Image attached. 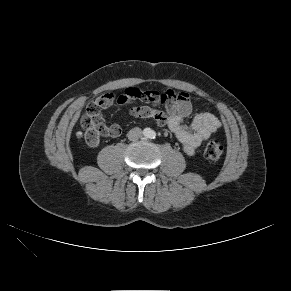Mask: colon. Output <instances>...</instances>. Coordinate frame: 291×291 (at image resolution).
Returning a JSON list of instances; mask_svg holds the SVG:
<instances>
[{"label":"colon","mask_w":291,"mask_h":291,"mask_svg":"<svg viewBox=\"0 0 291 291\" xmlns=\"http://www.w3.org/2000/svg\"><path fill=\"white\" fill-rule=\"evenodd\" d=\"M169 97L167 95H160L155 99L150 98L148 103L157 107L166 108L169 105ZM114 107L122 110L127 107L128 101L125 95H119L114 98ZM82 127L85 130L84 138L90 146L98 144L101 135L111 136L117 134L119 131L111 126H107L103 119L98 115V108L95 102H91L86 109V113L81 119ZM223 154V145L216 139H210L206 142L204 147V156L209 161H217Z\"/></svg>","instance_id":"colon-1"}]
</instances>
